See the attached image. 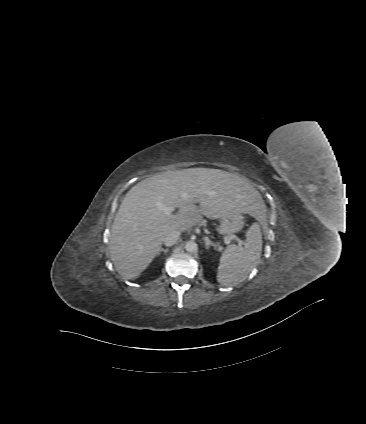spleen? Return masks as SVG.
Wrapping results in <instances>:
<instances>
[{
	"label": "spleen",
	"mask_w": 366,
	"mask_h": 424,
	"mask_svg": "<svg viewBox=\"0 0 366 424\" xmlns=\"http://www.w3.org/2000/svg\"><path fill=\"white\" fill-rule=\"evenodd\" d=\"M261 252L260 225L253 223L246 232L244 247L231 244L222 253L217 270V281L225 286H235L243 282L257 265Z\"/></svg>",
	"instance_id": "obj_1"
}]
</instances>
